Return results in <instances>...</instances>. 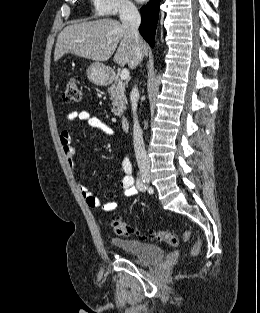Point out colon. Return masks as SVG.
<instances>
[{"label": "colon", "instance_id": "1", "mask_svg": "<svg viewBox=\"0 0 260 313\" xmlns=\"http://www.w3.org/2000/svg\"><path fill=\"white\" fill-rule=\"evenodd\" d=\"M62 98L67 103L78 102L81 99V90L76 79L71 78L66 82ZM109 223L113 231L119 236L125 237L138 236L143 239L150 238L161 243H166L171 246H177L179 243L178 237L173 232L168 230L151 231L146 234L138 231L133 225L124 222L118 218H112L109 221ZM193 235L194 232L188 230L183 234V239L187 241ZM201 247L202 241L199 237H197V240L191 249L190 252L191 255L192 256L198 255L201 250Z\"/></svg>", "mask_w": 260, "mask_h": 313}]
</instances>
